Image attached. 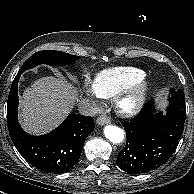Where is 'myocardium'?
I'll return each instance as SVG.
<instances>
[{
	"instance_id": "1",
	"label": "myocardium",
	"mask_w": 194,
	"mask_h": 194,
	"mask_svg": "<svg viewBox=\"0 0 194 194\" xmlns=\"http://www.w3.org/2000/svg\"><path fill=\"white\" fill-rule=\"evenodd\" d=\"M151 91V82L143 77L124 87L113 96L115 111L123 117L137 115L145 106Z\"/></svg>"
}]
</instances>
